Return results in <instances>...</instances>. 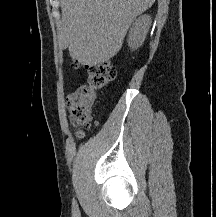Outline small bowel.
Instances as JSON below:
<instances>
[{
  "instance_id": "small-bowel-1",
  "label": "small bowel",
  "mask_w": 216,
  "mask_h": 217,
  "mask_svg": "<svg viewBox=\"0 0 216 217\" xmlns=\"http://www.w3.org/2000/svg\"><path fill=\"white\" fill-rule=\"evenodd\" d=\"M71 94L70 95H68L67 96V98H66V101H67V104H68V107H69V109H70V104H71Z\"/></svg>"
}]
</instances>
